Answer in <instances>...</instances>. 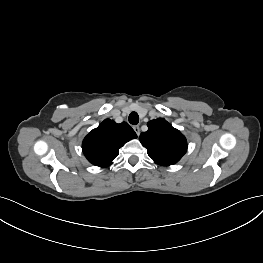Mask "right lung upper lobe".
Returning a JSON list of instances; mask_svg holds the SVG:
<instances>
[{"mask_svg": "<svg viewBox=\"0 0 263 263\" xmlns=\"http://www.w3.org/2000/svg\"><path fill=\"white\" fill-rule=\"evenodd\" d=\"M136 137L126 122L117 124L106 119L84 138L83 153L93 165L107 167L119 155V148Z\"/></svg>", "mask_w": 263, "mask_h": 263, "instance_id": "cb5924a9", "label": "right lung upper lobe"}]
</instances>
